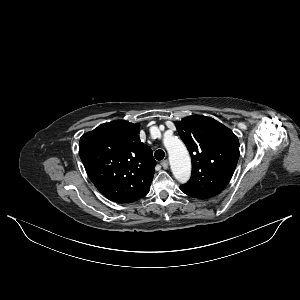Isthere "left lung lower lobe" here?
<instances>
[{"label":"left lung lower lobe","instance_id":"0a47b994","mask_svg":"<svg viewBox=\"0 0 300 300\" xmlns=\"http://www.w3.org/2000/svg\"><path fill=\"white\" fill-rule=\"evenodd\" d=\"M180 189H181V191H182L183 193H185V194H187V195H189V196H192V197H195V198H199V199H206V198L203 197V196L196 195V194H193V193H191V192L185 190V189L182 188L181 186H180Z\"/></svg>","mask_w":300,"mask_h":300}]
</instances>
